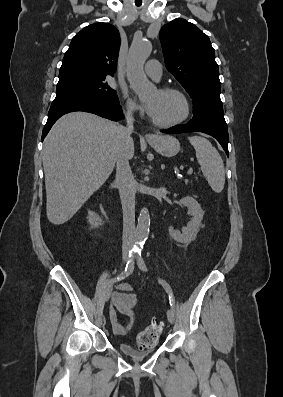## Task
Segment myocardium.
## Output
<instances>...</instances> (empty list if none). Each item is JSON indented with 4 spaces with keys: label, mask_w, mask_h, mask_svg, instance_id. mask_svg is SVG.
I'll return each instance as SVG.
<instances>
[{
    "label": "myocardium",
    "mask_w": 283,
    "mask_h": 397,
    "mask_svg": "<svg viewBox=\"0 0 283 397\" xmlns=\"http://www.w3.org/2000/svg\"><path fill=\"white\" fill-rule=\"evenodd\" d=\"M158 91L161 93H172V94L178 95L181 98V100L183 101L184 111L180 117H178L177 119H174L172 121L161 122V121H157L151 117V122L155 126L161 127V128H170V127H174V126H177V125H180L181 123H183L189 117V115L191 113V103H190V100L187 97V95L181 89L173 87V86H164V87L159 88Z\"/></svg>",
    "instance_id": "f54148a6"
}]
</instances>
